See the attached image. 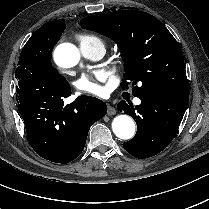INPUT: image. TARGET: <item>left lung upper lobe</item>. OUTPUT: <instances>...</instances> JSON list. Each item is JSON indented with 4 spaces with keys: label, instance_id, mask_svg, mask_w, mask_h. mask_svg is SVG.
I'll list each match as a JSON object with an SVG mask.
<instances>
[{
    "label": "left lung upper lobe",
    "instance_id": "5c2ea615",
    "mask_svg": "<svg viewBox=\"0 0 209 209\" xmlns=\"http://www.w3.org/2000/svg\"><path fill=\"white\" fill-rule=\"evenodd\" d=\"M80 25L117 43L124 59L123 89L132 83L134 96L160 92L189 98L183 53L157 18L143 11L120 10L85 17Z\"/></svg>",
    "mask_w": 209,
    "mask_h": 209
}]
</instances>
